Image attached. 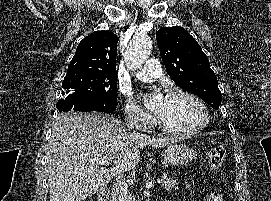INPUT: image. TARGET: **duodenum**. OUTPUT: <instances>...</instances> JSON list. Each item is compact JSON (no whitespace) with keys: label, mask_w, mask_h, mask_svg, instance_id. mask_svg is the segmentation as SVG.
Segmentation results:
<instances>
[{"label":"duodenum","mask_w":271,"mask_h":201,"mask_svg":"<svg viewBox=\"0 0 271 201\" xmlns=\"http://www.w3.org/2000/svg\"><path fill=\"white\" fill-rule=\"evenodd\" d=\"M108 198H109V190L107 187H104L98 193V201H108Z\"/></svg>","instance_id":"obj_1"}]
</instances>
